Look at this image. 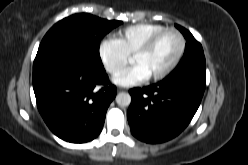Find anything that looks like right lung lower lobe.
<instances>
[{"mask_svg": "<svg viewBox=\"0 0 248 165\" xmlns=\"http://www.w3.org/2000/svg\"><path fill=\"white\" fill-rule=\"evenodd\" d=\"M101 85L97 90L95 87ZM33 88L37 106L49 129L71 143L96 138L116 96L103 68L78 47L64 46L36 55Z\"/></svg>", "mask_w": 248, "mask_h": 165, "instance_id": "98d812e1", "label": "right lung lower lobe"}]
</instances>
